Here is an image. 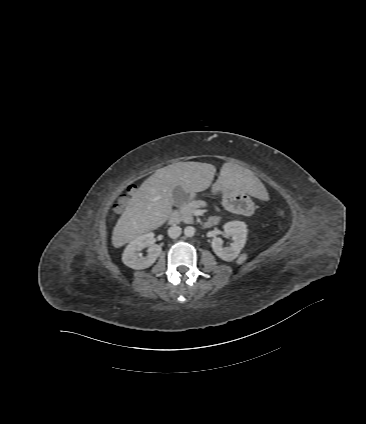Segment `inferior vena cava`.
Instances as JSON below:
<instances>
[{
    "label": "inferior vena cava",
    "instance_id": "inferior-vena-cava-1",
    "mask_svg": "<svg viewBox=\"0 0 366 424\" xmlns=\"http://www.w3.org/2000/svg\"><path fill=\"white\" fill-rule=\"evenodd\" d=\"M182 229L179 226H172L168 229V235L170 238L175 239L181 235Z\"/></svg>",
    "mask_w": 366,
    "mask_h": 424
}]
</instances>
